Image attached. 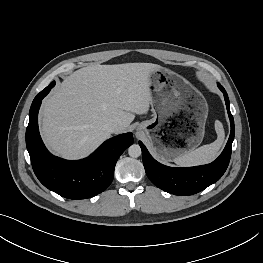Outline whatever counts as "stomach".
Here are the masks:
<instances>
[{
  "label": "stomach",
  "instance_id": "stomach-1",
  "mask_svg": "<svg viewBox=\"0 0 263 263\" xmlns=\"http://www.w3.org/2000/svg\"><path fill=\"white\" fill-rule=\"evenodd\" d=\"M153 118L140 123L154 155L163 161L195 150L202 142L208 105L181 75L160 67L149 74Z\"/></svg>",
  "mask_w": 263,
  "mask_h": 263
}]
</instances>
